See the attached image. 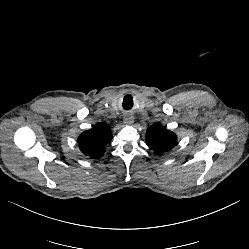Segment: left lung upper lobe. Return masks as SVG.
Segmentation results:
<instances>
[{
  "label": "left lung upper lobe",
  "mask_w": 249,
  "mask_h": 249,
  "mask_svg": "<svg viewBox=\"0 0 249 249\" xmlns=\"http://www.w3.org/2000/svg\"><path fill=\"white\" fill-rule=\"evenodd\" d=\"M146 144L159 155L177 145V136L162 124L155 123L147 128Z\"/></svg>",
  "instance_id": "left-lung-upper-lobe-1"
}]
</instances>
